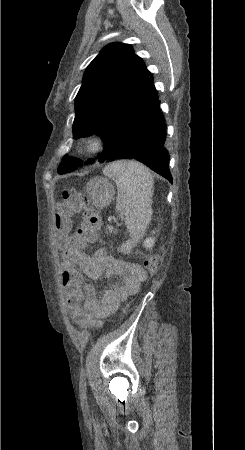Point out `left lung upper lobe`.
Listing matches in <instances>:
<instances>
[{"label": "left lung upper lobe", "mask_w": 245, "mask_h": 450, "mask_svg": "<svg viewBox=\"0 0 245 450\" xmlns=\"http://www.w3.org/2000/svg\"><path fill=\"white\" fill-rule=\"evenodd\" d=\"M158 98L152 74L128 44L112 43L87 67L75 98V139L97 132L104 141L103 156L120 151L148 107ZM94 160L89 161L92 163ZM82 161L64 156L59 174L68 173Z\"/></svg>", "instance_id": "5c2ea615"}]
</instances>
